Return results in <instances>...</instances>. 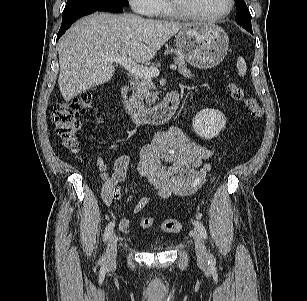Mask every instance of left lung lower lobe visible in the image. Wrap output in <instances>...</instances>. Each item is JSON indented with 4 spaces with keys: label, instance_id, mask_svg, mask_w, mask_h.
I'll list each match as a JSON object with an SVG mask.
<instances>
[{
    "label": "left lung lower lobe",
    "instance_id": "0a47b994",
    "mask_svg": "<svg viewBox=\"0 0 307 301\" xmlns=\"http://www.w3.org/2000/svg\"><path fill=\"white\" fill-rule=\"evenodd\" d=\"M248 32H250L251 34H253L252 32V28H245Z\"/></svg>",
    "mask_w": 307,
    "mask_h": 301
}]
</instances>
